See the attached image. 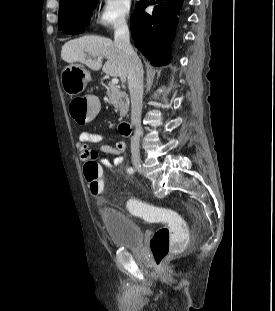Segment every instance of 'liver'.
I'll return each instance as SVG.
<instances>
[{"mask_svg":"<svg viewBox=\"0 0 275 311\" xmlns=\"http://www.w3.org/2000/svg\"><path fill=\"white\" fill-rule=\"evenodd\" d=\"M103 57L107 59V62L102 66ZM61 58L67 63L85 64L94 71L102 68L104 73L119 77L123 83L126 82L128 76L126 55L111 39L106 37L86 35L70 40L62 46Z\"/></svg>","mask_w":275,"mask_h":311,"instance_id":"6515ba94","label":"liver"}]
</instances>
